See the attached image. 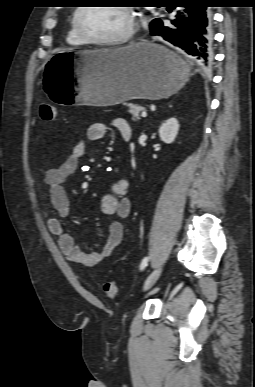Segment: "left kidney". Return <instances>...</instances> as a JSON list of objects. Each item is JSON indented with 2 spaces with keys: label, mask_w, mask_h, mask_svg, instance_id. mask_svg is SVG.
<instances>
[{
  "label": "left kidney",
  "mask_w": 255,
  "mask_h": 387,
  "mask_svg": "<svg viewBox=\"0 0 255 387\" xmlns=\"http://www.w3.org/2000/svg\"><path fill=\"white\" fill-rule=\"evenodd\" d=\"M179 131V123L176 118H170L163 123L159 129V136L161 141L166 144H171Z\"/></svg>",
  "instance_id": "1"
}]
</instances>
